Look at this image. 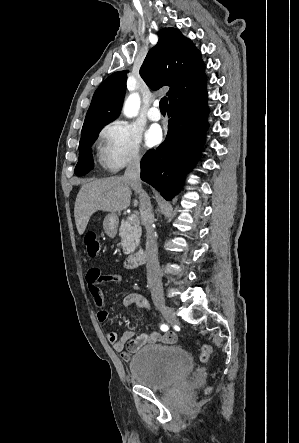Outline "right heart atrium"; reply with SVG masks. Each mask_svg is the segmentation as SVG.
Returning a JSON list of instances; mask_svg holds the SVG:
<instances>
[{
	"label": "right heart atrium",
	"instance_id": "d8ad5b80",
	"mask_svg": "<svg viewBox=\"0 0 299 443\" xmlns=\"http://www.w3.org/2000/svg\"><path fill=\"white\" fill-rule=\"evenodd\" d=\"M104 165L117 171L137 165L143 158L140 132L126 121L115 120L105 125L99 134Z\"/></svg>",
	"mask_w": 299,
	"mask_h": 443
}]
</instances>
